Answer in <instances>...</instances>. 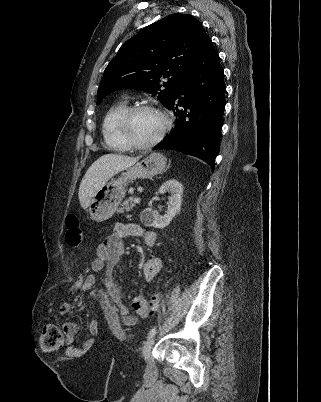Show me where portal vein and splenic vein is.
I'll use <instances>...</instances> for the list:
<instances>
[{
  "label": "portal vein and splenic vein",
  "instance_id": "18ae733b",
  "mask_svg": "<svg viewBox=\"0 0 321 402\" xmlns=\"http://www.w3.org/2000/svg\"><path fill=\"white\" fill-rule=\"evenodd\" d=\"M134 202H135V203H139V202H140V198H139V197H135V198H134Z\"/></svg>",
  "mask_w": 321,
  "mask_h": 402
}]
</instances>
